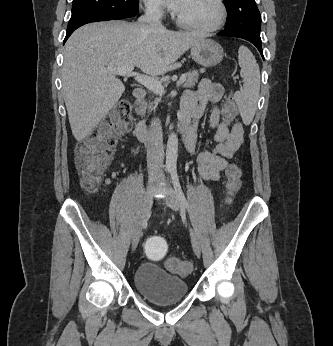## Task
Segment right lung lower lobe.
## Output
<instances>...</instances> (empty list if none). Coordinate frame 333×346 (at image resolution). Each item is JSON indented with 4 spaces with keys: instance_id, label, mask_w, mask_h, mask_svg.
Segmentation results:
<instances>
[{
    "instance_id": "obj_1",
    "label": "right lung lower lobe",
    "mask_w": 333,
    "mask_h": 346,
    "mask_svg": "<svg viewBox=\"0 0 333 346\" xmlns=\"http://www.w3.org/2000/svg\"><path fill=\"white\" fill-rule=\"evenodd\" d=\"M130 18V17H128ZM122 19H127V18H110V17H88L85 18L81 21H79L78 23H76L75 25H73L72 27L67 28V33H66V37L64 39V43L66 42V40L69 38V36L80 26L85 25L87 23H91V22H98V21H109V20H122Z\"/></svg>"
}]
</instances>
